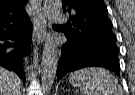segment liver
I'll list each match as a JSON object with an SVG mask.
<instances>
[{
	"mask_svg": "<svg viewBox=\"0 0 135 95\" xmlns=\"http://www.w3.org/2000/svg\"><path fill=\"white\" fill-rule=\"evenodd\" d=\"M22 81L14 73L0 67V95H21Z\"/></svg>",
	"mask_w": 135,
	"mask_h": 95,
	"instance_id": "liver-1",
	"label": "liver"
}]
</instances>
